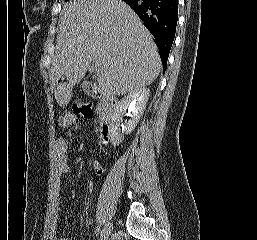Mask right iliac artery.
I'll return each instance as SVG.
<instances>
[{
    "instance_id": "obj_1",
    "label": "right iliac artery",
    "mask_w": 257,
    "mask_h": 240,
    "mask_svg": "<svg viewBox=\"0 0 257 240\" xmlns=\"http://www.w3.org/2000/svg\"><path fill=\"white\" fill-rule=\"evenodd\" d=\"M100 230H101V225L98 224V225L96 226V229H95V234H96V236L99 235Z\"/></svg>"
}]
</instances>
